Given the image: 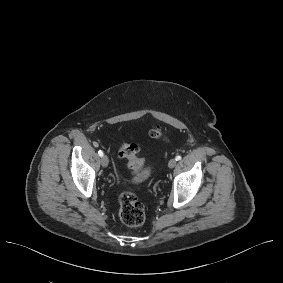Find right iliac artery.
I'll return each mask as SVG.
<instances>
[{"instance_id":"obj_1","label":"right iliac artery","mask_w":283,"mask_h":283,"mask_svg":"<svg viewBox=\"0 0 283 283\" xmlns=\"http://www.w3.org/2000/svg\"><path fill=\"white\" fill-rule=\"evenodd\" d=\"M98 154H99L100 157H102V156H103L102 150H99V151H98Z\"/></svg>"}]
</instances>
